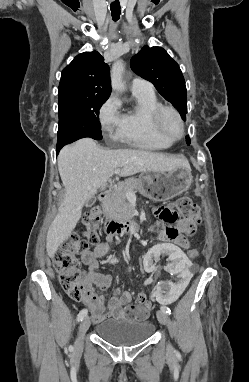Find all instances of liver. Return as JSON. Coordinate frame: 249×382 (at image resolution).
I'll list each match as a JSON object with an SVG mask.
<instances>
[{
	"instance_id": "1",
	"label": "liver",
	"mask_w": 249,
	"mask_h": 382,
	"mask_svg": "<svg viewBox=\"0 0 249 382\" xmlns=\"http://www.w3.org/2000/svg\"><path fill=\"white\" fill-rule=\"evenodd\" d=\"M177 167L190 169L183 157L139 149H104L91 138L65 146L58 156L65 195L47 233L48 256L53 258L58 247L71 235L85 202L94 197L98 189H105L115 169H120V176L126 177L145 171L169 172Z\"/></svg>"
}]
</instances>
